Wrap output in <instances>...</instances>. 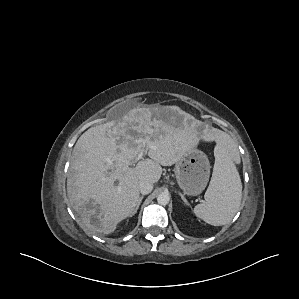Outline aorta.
I'll return each mask as SVG.
<instances>
[{"mask_svg": "<svg viewBox=\"0 0 299 299\" xmlns=\"http://www.w3.org/2000/svg\"><path fill=\"white\" fill-rule=\"evenodd\" d=\"M170 201V196L168 193H161L157 197V202L160 205H167Z\"/></svg>", "mask_w": 299, "mask_h": 299, "instance_id": "1", "label": "aorta"}]
</instances>
